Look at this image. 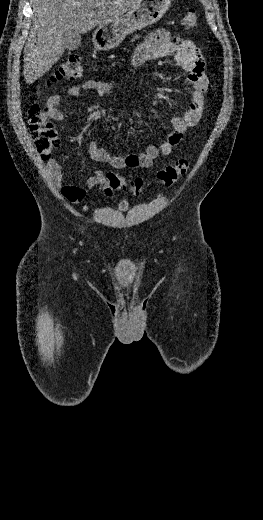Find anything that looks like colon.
Segmentation results:
<instances>
[{"instance_id":"5ec220e1","label":"colon","mask_w":263,"mask_h":520,"mask_svg":"<svg viewBox=\"0 0 263 520\" xmlns=\"http://www.w3.org/2000/svg\"><path fill=\"white\" fill-rule=\"evenodd\" d=\"M198 15L195 9H188L182 16L181 24L184 29L191 30L197 26ZM83 69L78 55H70L55 71L52 81L75 80L82 76ZM29 128L36 147L43 159H48L52 152L59 146V139L54 125L47 117V107L34 103L28 111ZM189 170L187 159H178L173 164L167 165L156 174V183L163 187L172 186ZM103 191L110 195L115 190H128L133 194H139L148 182L137 177L127 179L119 174L108 172L101 182Z\"/></svg>"}]
</instances>
